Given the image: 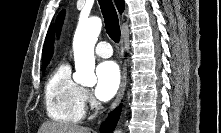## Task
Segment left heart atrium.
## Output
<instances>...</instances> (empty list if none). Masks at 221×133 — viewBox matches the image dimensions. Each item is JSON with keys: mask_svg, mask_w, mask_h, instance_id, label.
<instances>
[{"mask_svg": "<svg viewBox=\"0 0 221 133\" xmlns=\"http://www.w3.org/2000/svg\"><path fill=\"white\" fill-rule=\"evenodd\" d=\"M120 85V71L113 61H105L96 68L95 95L98 99L106 101L111 99Z\"/></svg>", "mask_w": 221, "mask_h": 133, "instance_id": "1", "label": "left heart atrium"}]
</instances>
